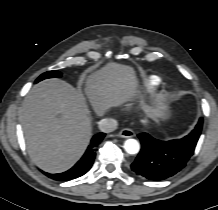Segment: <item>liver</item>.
Returning a JSON list of instances; mask_svg holds the SVG:
<instances>
[{
    "label": "liver",
    "mask_w": 218,
    "mask_h": 210,
    "mask_svg": "<svg viewBox=\"0 0 218 210\" xmlns=\"http://www.w3.org/2000/svg\"><path fill=\"white\" fill-rule=\"evenodd\" d=\"M85 86L98 115L138 95L134 69L114 62L89 75ZM143 108L148 117L167 116L168 107L161 98L153 106ZM21 122L30 158L50 173L71 168L92 136L90 110L84 96L60 79L44 80L32 88L22 105Z\"/></svg>",
    "instance_id": "liver-1"
}]
</instances>
